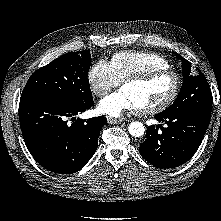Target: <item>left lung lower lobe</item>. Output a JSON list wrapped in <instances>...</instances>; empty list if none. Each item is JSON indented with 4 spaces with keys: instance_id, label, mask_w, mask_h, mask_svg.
I'll list each match as a JSON object with an SVG mask.
<instances>
[{
    "instance_id": "0a47b994",
    "label": "left lung lower lobe",
    "mask_w": 221,
    "mask_h": 221,
    "mask_svg": "<svg viewBox=\"0 0 221 221\" xmlns=\"http://www.w3.org/2000/svg\"><path fill=\"white\" fill-rule=\"evenodd\" d=\"M166 127L152 125L140 145L142 157L157 168H174L187 162L199 148L208 128L211 109L195 108L155 116ZM159 127L161 131H158Z\"/></svg>"
}]
</instances>
